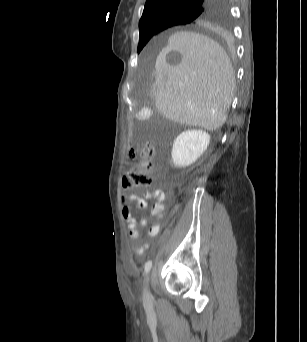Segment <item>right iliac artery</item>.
<instances>
[{
    "label": "right iliac artery",
    "instance_id": "right-iliac-artery-1",
    "mask_svg": "<svg viewBox=\"0 0 307 342\" xmlns=\"http://www.w3.org/2000/svg\"><path fill=\"white\" fill-rule=\"evenodd\" d=\"M151 266H152V261L146 262V264H145V274H147L150 271Z\"/></svg>",
    "mask_w": 307,
    "mask_h": 342
}]
</instances>
